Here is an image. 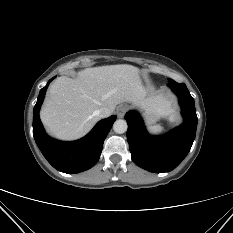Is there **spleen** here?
<instances>
[{"mask_svg": "<svg viewBox=\"0 0 233 233\" xmlns=\"http://www.w3.org/2000/svg\"><path fill=\"white\" fill-rule=\"evenodd\" d=\"M148 130L150 133L158 135L163 133L164 128L160 125H153V126H148Z\"/></svg>", "mask_w": 233, "mask_h": 233, "instance_id": "obj_1", "label": "spleen"}]
</instances>
